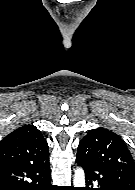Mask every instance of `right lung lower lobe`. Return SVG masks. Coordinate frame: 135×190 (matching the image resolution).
<instances>
[{
    "label": "right lung lower lobe",
    "instance_id": "1",
    "mask_svg": "<svg viewBox=\"0 0 135 190\" xmlns=\"http://www.w3.org/2000/svg\"><path fill=\"white\" fill-rule=\"evenodd\" d=\"M0 190H55L51 185L49 159L37 164L0 167Z\"/></svg>",
    "mask_w": 135,
    "mask_h": 190
}]
</instances>
